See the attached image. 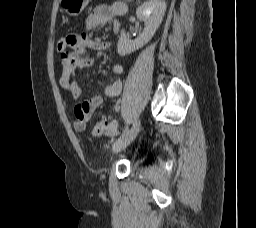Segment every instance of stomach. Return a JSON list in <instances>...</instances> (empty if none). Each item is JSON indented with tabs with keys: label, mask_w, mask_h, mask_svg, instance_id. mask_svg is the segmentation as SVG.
<instances>
[{
	"label": "stomach",
	"mask_w": 256,
	"mask_h": 228,
	"mask_svg": "<svg viewBox=\"0 0 256 228\" xmlns=\"http://www.w3.org/2000/svg\"><path fill=\"white\" fill-rule=\"evenodd\" d=\"M91 0H60L62 8L71 16H78Z\"/></svg>",
	"instance_id": "1"
}]
</instances>
